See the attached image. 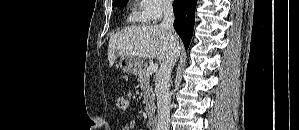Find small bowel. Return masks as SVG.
Returning a JSON list of instances; mask_svg holds the SVG:
<instances>
[{"instance_id":"1","label":"small bowel","mask_w":299,"mask_h":130,"mask_svg":"<svg viewBox=\"0 0 299 130\" xmlns=\"http://www.w3.org/2000/svg\"><path fill=\"white\" fill-rule=\"evenodd\" d=\"M136 127L135 121H129L121 130H133Z\"/></svg>"}]
</instances>
